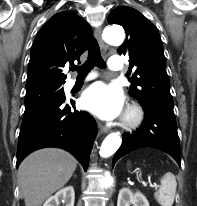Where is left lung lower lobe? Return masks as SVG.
Returning a JSON list of instances; mask_svg holds the SVG:
<instances>
[{"instance_id": "left-lung-lower-lobe-1", "label": "left lung lower lobe", "mask_w": 197, "mask_h": 206, "mask_svg": "<svg viewBox=\"0 0 197 206\" xmlns=\"http://www.w3.org/2000/svg\"><path fill=\"white\" fill-rule=\"evenodd\" d=\"M144 121L137 131L124 134L121 147L113 158L122 156L141 147H153L171 155L181 166L180 145L173 109L161 105H143Z\"/></svg>"}]
</instances>
